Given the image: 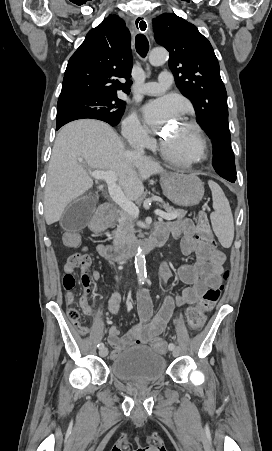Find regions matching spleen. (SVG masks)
Instances as JSON below:
<instances>
[{"mask_svg": "<svg viewBox=\"0 0 272 451\" xmlns=\"http://www.w3.org/2000/svg\"><path fill=\"white\" fill-rule=\"evenodd\" d=\"M208 186L212 192L213 208L210 220L215 235L223 247H230L234 237V222L230 204L220 186L209 180Z\"/></svg>", "mask_w": 272, "mask_h": 451, "instance_id": "1", "label": "spleen"}]
</instances>
